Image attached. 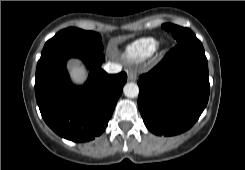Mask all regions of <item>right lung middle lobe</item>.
Returning <instances> with one entry per match:
<instances>
[{
  "mask_svg": "<svg viewBox=\"0 0 245 170\" xmlns=\"http://www.w3.org/2000/svg\"><path fill=\"white\" fill-rule=\"evenodd\" d=\"M65 49H95L102 51V38L100 34L93 31H84L73 27L64 29L46 42L37 65Z\"/></svg>",
  "mask_w": 245,
  "mask_h": 170,
  "instance_id": "dd1d6c3e",
  "label": "right lung middle lobe"
}]
</instances>
